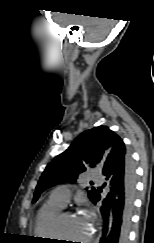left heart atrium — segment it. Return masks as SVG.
I'll use <instances>...</instances> for the list:
<instances>
[{"instance_id": "obj_1", "label": "left heart atrium", "mask_w": 154, "mask_h": 243, "mask_svg": "<svg viewBox=\"0 0 154 243\" xmlns=\"http://www.w3.org/2000/svg\"><path fill=\"white\" fill-rule=\"evenodd\" d=\"M80 217L83 218L89 225H91L93 222L92 214L88 210H83Z\"/></svg>"}]
</instances>
